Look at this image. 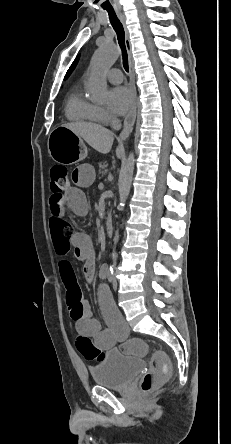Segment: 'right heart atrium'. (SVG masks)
<instances>
[{
	"label": "right heart atrium",
	"instance_id": "1",
	"mask_svg": "<svg viewBox=\"0 0 231 444\" xmlns=\"http://www.w3.org/2000/svg\"><path fill=\"white\" fill-rule=\"evenodd\" d=\"M94 112L97 121L107 122L112 118L111 114L102 106L94 105Z\"/></svg>",
	"mask_w": 231,
	"mask_h": 444
}]
</instances>
